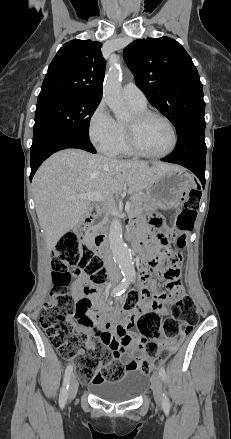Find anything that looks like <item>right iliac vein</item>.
Instances as JSON below:
<instances>
[{
  "instance_id": "1",
  "label": "right iliac vein",
  "mask_w": 231,
  "mask_h": 439,
  "mask_svg": "<svg viewBox=\"0 0 231 439\" xmlns=\"http://www.w3.org/2000/svg\"><path fill=\"white\" fill-rule=\"evenodd\" d=\"M77 391H78V381L76 380L75 377H72L69 382V390H68L69 399L74 398Z\"/></svg>"
}]
</instances>
